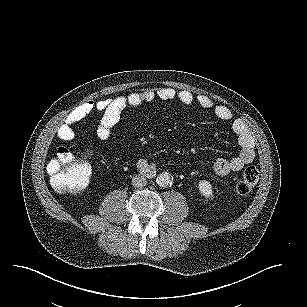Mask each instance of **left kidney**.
Instances as JSON below:
<instances>
[{
    "instance_id": "obj_1",
    "label": "left kidney",
    "mask_w": 307,
    "mask_h": 307,
    "mask_svg": "<svg viewBox=\"0 0 307 307\" xmlns=\"http://www.w3.org/2000/svg\"><path fill=\"white\" fill-rule=\"evenodd\" d=\"M199 188L203 195L210 196L211 193V186L207 181H202L199 185Z\"/></svg>"
}]
</instances>
